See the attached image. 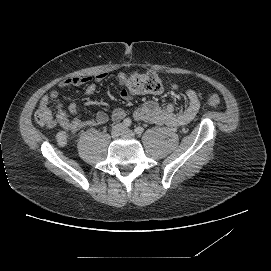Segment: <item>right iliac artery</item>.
I'll return each instance as SVG.
<instances>
[{"label": "right iliac artery", "mask_w": 271, "mask_h": 271, "mask_svg": "<svg viewBox=\"0 0 271 271\" xmlns=\"http://www.w3.org/2000/svg\"><path fill=\"white\" fill-rule=\"evenodd\" d=\"M131 120L129 118H126L123 120V125L126 126V127H129L131 126Z\"/></svg>", "instance_id": "1"}]
</instances>
